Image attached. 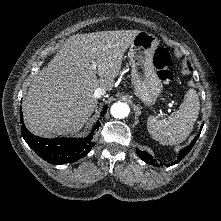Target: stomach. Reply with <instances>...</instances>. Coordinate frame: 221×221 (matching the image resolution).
Returning a JSON list of instances; mask_svg holds the SVG:
<instances>
[{
	"instance_id": "obj_1",
	"label": "stomach",
	"mask_w": 221,
	"mask_h": 221,
	"mask_svg": "<svg viewBox=\"0 0 221 221\" xmlns=\"http://www.w3.org/2000/svg\"><path fill=\"white\" fill-rule=\"evenodd\" d=\"M158 44L159 41L153 34L140 31L129 49L134 92L148 107L155 104L162 90V83L153 62Z\"/></svg>"
}]
</instances>
